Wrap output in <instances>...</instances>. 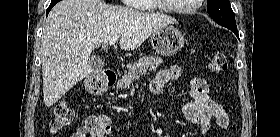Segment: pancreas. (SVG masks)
<instances>
[{
  "mask_svg": "<svg viewBox=\"0 0 280 137\" xmlns=\"http://www.w3.org/2000/svg\"><path fill=\"white\" fill-rule=\"evenodd\" d=\"M162 62L161 57L156 56L140 58L137 63L130 65L128 71L118 80L116 85L117 89H127L134 80L151 71H155Z\"/></svg>",
  "mask_w": 280,
  "mask_h": 137,
  "instance_id": "obj_1",
  "label": "pancreas"
}]
</instances>
